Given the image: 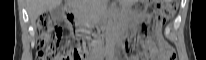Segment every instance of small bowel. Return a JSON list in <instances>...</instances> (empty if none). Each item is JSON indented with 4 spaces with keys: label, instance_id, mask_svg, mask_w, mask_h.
I'll return each instance as SVG.
<instances>
[{
    "label": "small bowel",
    "instance_id": "c3829d8e",
    "mask_svg": "<svg viewBox=\"0 0 206 60\" xmlns=\"http://www.w3.org/2000/svg\"><path fill=\"white\" fill-rule=\"evenodd\" d=\"M161 20H158V22H157V26H159L160 24H161ZM130 60H134V59H136V58H129ZM162 59H164V58H162Z\"/></svg>",
    "mask_w": 206,
    "mask_h": 60
}]
</instances>
